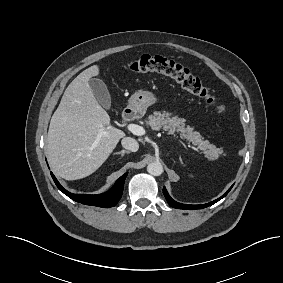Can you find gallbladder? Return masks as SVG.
<instances>
[{
    "label": "gallbladder",
    "mask_w": 283,
    "mask_h": 283,
    "mask_svg": "<svg viewBox=\"0 0 283 283\" xmlns=\"http://www.w3.org/2000/svg\"><path fill=\"white\" fill-rule=\"evenodd\" d=\"M89 85L100 105L106 109L110 108L111 96L104 81L98 78H92L89 80Z\"/></svg>",
    "instance_id": "gallbladder-1"
}]
</instances>
